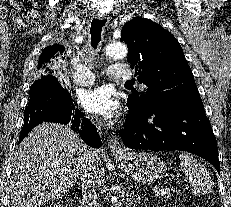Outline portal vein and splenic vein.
<instances>
[{
  "label": "portal vein and splenic vein",
  "instance_id": "1",
  "mask_svg": "<svg viewBox=\"0 0 231 207\" xmlns=\"http://www.w3.org/2000/svg\"><path fill=\"white\" fill-rule=\"evenodd\" d=\"M167 193H168L167 190L161 189V190H158V191L156 192V195H157V196H163V195H166Z\"/></svg>",
  "mask_w": 231,
  "mask_h": 207
}]
</instances>
